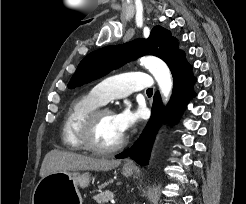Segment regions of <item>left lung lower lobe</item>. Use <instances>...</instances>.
Instances as JSON below:
<instances>
[{"mask_svg": "<svg viewBox=\"0 0 246 204\" xmlns=\"http://www.w3.org/2000/svg\"><path fill=\"white\" fill-rule=\"evenodd\" d=\"M170 70L173 76L174 86L168 107V114L176 122L189 98L194 96L192 86L196 79L192 76L191 66L185 61L184 54L176 60ZM163 116L164 111L161 98L157 92L154 96L151 118L139 140L131 149L125 150L117 155L116 158H126L129 156L140 165L148 164L152 143Z\"/></svg>", "mask_w": 246, "mask_h": 204, "instance_id": "0a47b994", "label": "left lung lower lobe"}]
</instances>
